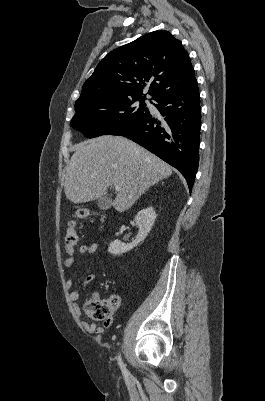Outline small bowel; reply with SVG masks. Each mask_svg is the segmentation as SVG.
I'll return each instance as SVG.
<instances>
[{"mask_svg": "<svg viewBox=\"0 0 265 401\" xmlns=\"http://www.w3.org/2000/svg\"><path fill=\"white\" fill-rule=\"evenodd\" d=\"M99 249V244L98 243H91V244H82L78 247H74L72 249H69L65 246V250L67 253V258L64 260V266L66 268H70L74 265L75 259L79 258L82 255H93L97 250ZM96 279V275L94 274H89L87 275L83 282L82 286L85 287L89 283L93 282ZM73 286V279H68L66 282V287L68 289H71ZM69 298L71 302L74 305V310L75 313L79 316L81 314L78 301L80 298V291L79 290H72L69 294ZM93 298H99V295L97 293L93 294ZM112 320L106 321L105 325L108 326L110 325ZM83 327L90 333H103V329L98 327L96 324H90L88 322H83L82 323Z\"/></svg>", "mask_w": 265, "mask_h": 401, "instance_id": "1", "label": "small bowel"}]
</instances>
